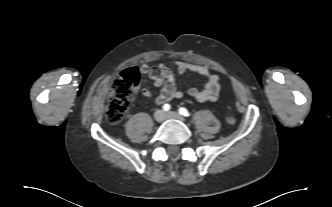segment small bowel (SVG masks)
Here are the masks:
<instances>
[{
    "instance_id": "c3829d8e",
    "label": "small bowel",
    "mask_w": 332,
    "mask_h": 207,
    "mask_svg": "<svg viewBox=\"0 0 332 207\" xmlns=\"http://www.w3.org/2000/svg\"><path fill=\"white\" fill-rule=\"evenodd\" d=\"M175 68L179 74L193 72L201 76L204 79L203 87L201 89L195 87L186 90L180 89L176 86L172 70L168 65L161 63L150 67L143 64L140 66V72L151 78L161 90L156 94H152L149 89H143L142 95L145 98H152L157 104L166 103L173 98H181L184 94H188L199 102L216 100L222 84L219 77L206 66L180 61L175 63Z\"/></svg>"
}]
</instances>
